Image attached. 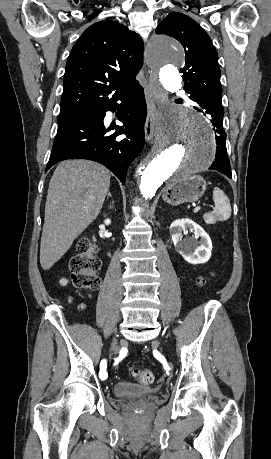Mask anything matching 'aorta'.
I'll return each instance as SVG.
<instances>
[{"mask_svg":"<svg viewBox=\"0 0 271 459\" xmlns=\"http://www.w3.org/2000/svg\"><path fill=\"white\" fill-rule=\"evenodd\" d=\"M148 57L158 97H161V86L170 92L179 90L182 78L177 67L184 60L181 44L170 37L155 38L149 46ZM214 158L212 130L205 118L194 110L161 99L153 148L136 172L140 197H143L137 199L138 216L146 219L151 215L146 201L155 196L164 182L206 170Z\"/></svg>","mask_w":271,"mask_h":459,"instance_id":"762f6f07","label":"aorta"}]
</instances>
